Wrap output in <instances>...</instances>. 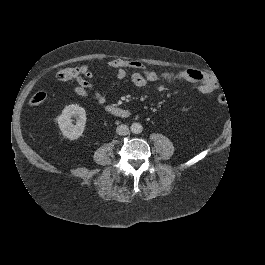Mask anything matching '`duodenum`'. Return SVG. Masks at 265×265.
Wrapping results in <instances>:
<instances>
[{
  "instance_id": "obj_1",
  "label": "duodenum",
  "mask_w": 265,
  "mask_h": 265,
  "mask_svg": "<svg viewBox=\"0 0 265 265\" xmlns=\"http://www.w3.org/2000/svg\"><path fill=\"white\" fill-rule=\"evenodd\" d=\"M106 110L110 112L111 114L119 116V117H128L130 114L128 110L115 107V106H107Z\"/></svg>"
}]
</instances>
